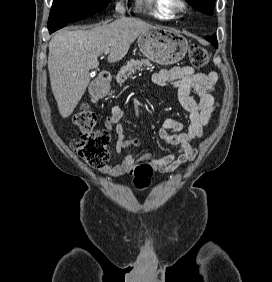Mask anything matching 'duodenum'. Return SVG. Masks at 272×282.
Returning <instances> with one entry per match:
<instances>
[{"mask_svg": "<svg viewBox=\"0 0 272 282\" xmlns=\"http://www.w3.org/2000/svg\"><path fill=\"white\" fill-rule=\"evenodd\" d=\"M110 79V74L104 73L90 85L89 92L94 100L98 101L105 97Z\"/></svg>", "mask_w": 272, "mask_h": 282, "instance_id": "1", "label": "duodenum"}]
</instances>
